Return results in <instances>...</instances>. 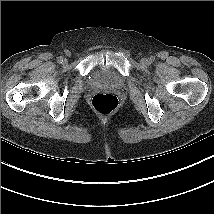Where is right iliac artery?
Segmentation results:
<instances>
[{
  "instance_id": "1",
  "label": "right iliac artery",
  "mask_w": 214,
  "mask_h": 214,
  "mask_svg": "<svg viewBox=\"0 0 214 214\" xmlns=\"http://www.w3.org/2000/svg\"><path fill=\"white\" fill-rule=\"evenodd\" d=\"M57 61H58V63H62L63 62V57H58V59H57Z\"/></svg>"
}]
</instances>
